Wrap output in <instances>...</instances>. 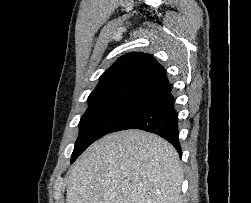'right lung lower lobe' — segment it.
I'll return each instance as SVG.
<instances>
[{
  "instance_id": "obj_1",
  "label": "right lung lower lobe",
  "mask_w": 251,
  "mask_h": 203,
  "mask_svg": "<svg viewBox=\"0 0 251 203\" xmlns=\"http://www.w3.org/2000/svg\"><path fill=\"white\" fill-rule=\"evenodd\" d=\"M126 129H141L161 136L180 153L178 118L174 108L173 96L161 103L143 109L120 125L113 132Z\"/></svg>"
}]
</instances>
